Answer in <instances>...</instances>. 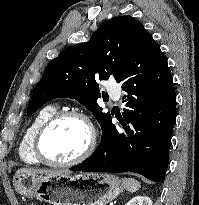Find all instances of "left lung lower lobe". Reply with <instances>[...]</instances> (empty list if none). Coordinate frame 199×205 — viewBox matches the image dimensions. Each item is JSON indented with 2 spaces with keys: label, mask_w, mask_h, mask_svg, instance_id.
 Returning <instances> with one entry per match:
<instances>
[{
  "label": "left lung lower lobe",
  "mask_w": 199,
  "mask_h": 205,
  "mask_svg": "<svg viewBox=\"0 0 199 205\" xmlns=\"http://www.w3.org/2000/svg\"><path fill=\"white\" fill-rule=\"evenodd\" d=\"M124 121H111L102 131L94 153L70 170L135 172L161 182L169 163L176 120V94L167 59L144 30L121 74Z\"/></svg>",
  "instance_id": "left-lung-lower-lobe-1"
}]
</instances>
